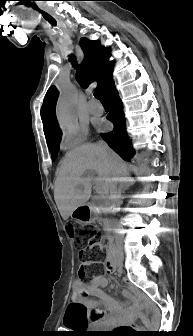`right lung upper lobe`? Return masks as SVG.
Here are the masks:
<instances>
[{
  "instance_id": "right-lung-upper-lobe-1",
  "label": "right lung upper lobe",
  "mask_w": 193,
  "mask_h": 336,
  "mask_svg": "<svg viewBox=\"0 0 193 336\" xmlns=\"http://www.w3.org/2000/svg\"><path fill=\"white\" fill-rule=\"evenodd\" d=\"M80 46L84 51L85 58L82 66L89 78L84 81L77 77L80 85L87 87L91 82L97 81V87L104 93L112 79L113 63L108 61L110 56L107 48H101L98 42L89 41L85 38L80 40ZM58 91L54 86L50 87L45 95L41 107V118L47 143L61 135V131L55 120L56 102Z\"/></svg>"
}]
</instances>
